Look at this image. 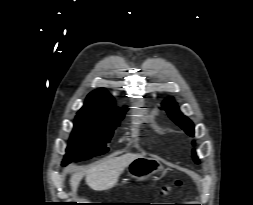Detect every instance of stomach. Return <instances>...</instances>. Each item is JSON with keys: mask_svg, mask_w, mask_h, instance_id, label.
<instances>
[{"mask_svg": "<svg viewBox=\"0 0 253 205\" xmlns=\"http://www.w3.org/2000/svg\"><path fill=\"white\" fill-rule=\"evenodd\" d=\"M163 169L159 160L151 157L139 156L135 158L127 167L129 177L145 181L154 173Z\"/></svg>", "mask_w": 253, "mask_h": 205, "instance_id": "0dacf381", "label": "stomach"}]
</instances>
